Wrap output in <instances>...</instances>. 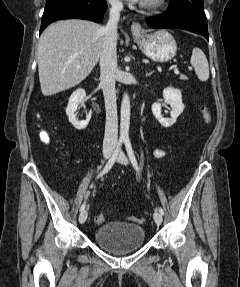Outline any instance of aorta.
Segmentation results:
<instances>
[{
    "mask_svg": "<svg viewBox=\"0 0 240 287\" xmlns=\"http://www.w3.org/2000/svg\"><path fill=\"white\" fill-rule=\"evenodd\" d=\"M129 126H130V98L128 94H124L121 103V120H120L121 140H127L129 138Z\"/></svg>",
    "mask_w": 240,
    "mask_h": 287,
    "instance_id": "aorta-1",
    "label": "aorta"
}]
</instances>
